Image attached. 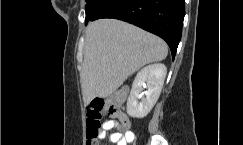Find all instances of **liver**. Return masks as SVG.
I'll list each match as a JSON object with an SVG mask.
<instances>
[{
    "label": "liver",
    "mask_w": 243,
    "mask_h": 145,
    "mask_svg": "<svg viewBox=\"0 0 243 145\" xmlns=\"http://www.w3.org/2000/svg\"><path fill=\"white\" fill-rule=\"evenodd\" d=\"M167 44L159 37L116 19L91 22L86 29L81 71L83 100L114 93L148 63L164 60Z\"/></svg>",
    "instance_id": "6515ba94"
}]
</instances>
